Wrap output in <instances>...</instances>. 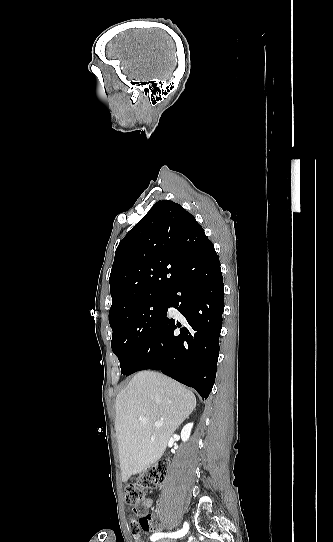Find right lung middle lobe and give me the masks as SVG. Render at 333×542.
<instances>
[{
	"mask_svg": "<svg viewBox=\"0 0 333 542\" xmlns=\"http://www.w3.org/2000/svg\"><path fill=\"white\" fill-rule=\"evenodd\" d=\"M168 311V296L128 308L109 319L113 330L111 347L126 375L144 347L152 340Z\"/></svg>",
	"mask_w": 333,
	"mask_h": 542,
	"instance_id": "1",
	"label": "right lung middle lobe"
}]
</instances>
